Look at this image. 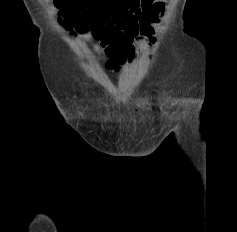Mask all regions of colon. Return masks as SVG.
<instances>
[{
    "label": "colon",
    "instance_id": "obj_1",
    "mask_svg": "<svg viewBox=\"0 0 237 232\" xmlns=\"http://www.w3.org/2000/svg\"><path fill=\"white\" fill-rule=\"evenodd\" d=\"M145 0H54L68 27L77 33L99 32L107 20L129 14Z\"/></svg>",
    "mask_w": 237,
    "mask_h": 232
}]
</instances>
